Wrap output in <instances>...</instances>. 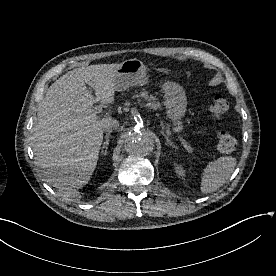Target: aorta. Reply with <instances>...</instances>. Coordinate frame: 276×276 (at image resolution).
I'll use <instances>...</instances> for the list:
<instances>
[{
	"mask_svg": "<svg viewBox=\"0 0 276 276\" xmlns=\"http://www.w3.org/2000/svg\"><path fill=\"white\" fill-rule=\"evenodd\" d=\"M125 148L130 154L144 157L153 151L154 139L149 133L133 129L128 133Z\"/></svg>",
	"mask_w": 276,
	"mask_h": 276,
	"instance_id": "1",
	"label": "aorta"
}]
</instances>
